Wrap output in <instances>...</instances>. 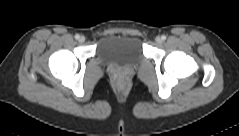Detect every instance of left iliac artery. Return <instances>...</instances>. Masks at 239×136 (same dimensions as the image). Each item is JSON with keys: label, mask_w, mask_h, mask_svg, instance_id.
Segmentation results:
<instances>
[{"label": "left iliac artery", "mask_w": 239, "mask_h": 136, "mask_svg": "<svg viewBox=\"0 0 239 136\" xmlns=\"http://www.w3.org/2000/svg\"><path fill=\"white\" fill-rule=\"evenodd\" d=\"M161 38H162V40H166V36L165 35H162Z\"/></svg>", "instance_id": "left-iliac-artery-1"}]
</instances>
